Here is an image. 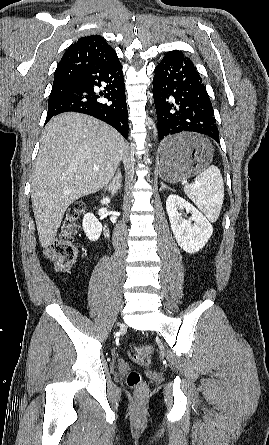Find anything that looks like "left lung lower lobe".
I'll use <instances>...</instances> for the list:
<instances>
[{"label": "left lung lower lobe", "mask_w": 269, "mask_h": 445, "mask_svg": "<svg viewBox=\"0 0 269 445\" xmlns=\"http://www.w3.org/2000/svg\"><path fill=\"white\" fill-rule=\"evenodd\" d=\"M153 97L159 140L180 132H197L219 142L214 111L206 88L192 61L181 51L168 52L156 66ZM179 151L177 143L163 145L166 156Z\"/></svg>", "instance_id": "left-lung-lower-lobe-1"}]
</instances>
